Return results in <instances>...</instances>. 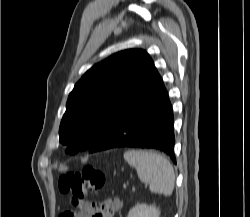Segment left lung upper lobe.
Listing matches in <instances>:
<instances>
[{
  "instance_id": "obj_1",
  "label": "left lung upper lobe",
  "mask_w": 250,
  "mask_h": 217,
  "mask_svg": "<svg viewBox=\"0 0 250 217\" xmlns=\"http://www.w3.org/2000/svg\"><path fill=\"white\" fill-rule=\"evenodd\" d=\"M154 68L146 51L118 52L90 68L70 93L59 136L67 153L98 142L140 82Z\"/></svg>"
}]
</instances>
